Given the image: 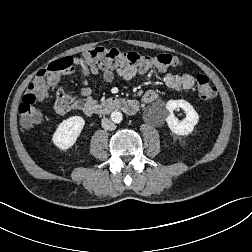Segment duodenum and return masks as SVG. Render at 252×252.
I'll list each match as a JSON object with an SVG mask.
<instances>
[{
	"instance_id": "1",
	"label": "duodenum",
	"mask_w": 252,
	"mask_h": 252,
	"mask_svg": "<svg viewBox=\"0 0 252 252\" xmlns=\"http://www.w3.org/2000/svg\"><path fill=\"white\" fill-rule=\"evenodd\" d=\"M139 104L133 99L110 98L100 103H91L84 107V111L90 115L107 114L114 110L133 115L137 112Z\"/></svg>"
}]
</instances>
